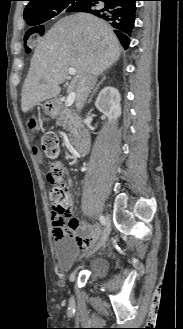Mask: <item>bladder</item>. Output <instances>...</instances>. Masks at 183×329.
<instances>
[{"mask_svg":"<svg viewBox=\"0 0 183 329\" xmlns=\"http://www.w3.org/2000/svg\"><path fill=\"white\" fill-rule=\"evenodd\" d=\"M55 255L61 270L69 271L78 255V246L70 237H64L55 243ZM109 269V262L104 257L91 260L88 273L92 278H103Z\"/></svg>","mask_w":183,"mask_h":329,"instance_id":"1","label":"bladder"}]
</instances>
